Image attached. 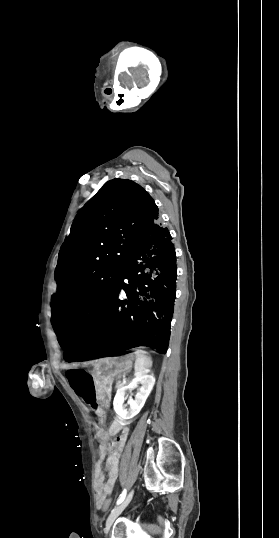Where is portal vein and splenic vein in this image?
Instances as JSON below:
<instances>
[{
	"mask_svg": "<svg viewBox=\"0 0 279 538\" xmlns=\"http://www.w3.org/2000/svg\"><path fill=\"white\" fill-rule=\"evenodd\" d=\"M126 380H128V377H123V383H126Z\"/></svg>",
	"mask_w": 279,
	"mask_h": 538,
	"instance_id": "portal-vein-and-splenic-vein-1",
	"label": "portal vein and splenic vein"
}]
</instances>
